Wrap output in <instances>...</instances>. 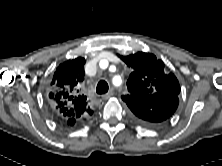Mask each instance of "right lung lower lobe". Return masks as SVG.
I'll use <instances>...</instances> for the list:
<instances>
[{"instance_id": "98d812e1", "label": "right lung lower lobe", "mask_w": 222, "mask_h": 166, "mask_svg": "<svg viewBox=\"0 0 222 166\" xmlns=\"http://www.w3.org/2000/svg\"><path fill=\"white\" fill-rule=\"evenodd\" d=\"M66 122V124H68V125H74V123L73 124H70V123H68L67 121H65Z\"/></svg>"}]
</instances>
